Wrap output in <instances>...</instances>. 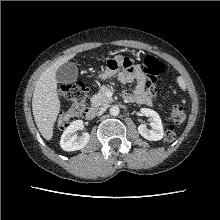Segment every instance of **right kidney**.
<instances>
[{
  "label": "right kidney",
  "instance_id": "right-kidney-1",
  "mask_svg": "<svg viewBox=\"0 0 220 220\" xmlns=\"http://www.w3.org/2000/svg\"><path fill=\"white\" fill-rule=\"evenodd\" d=\"M83 121H73L63 132L60 140V146L64 151H76L84 148L90 140L88 133H83L78 138L76 131L83 128Z\"/></svg>",
  "mask_w": 220,
  "mask_h": 220
}]
</instances>
